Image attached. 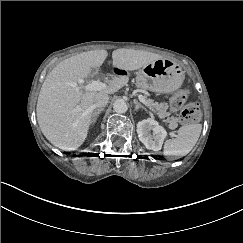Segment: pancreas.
Here are the masks:
<instances>
[{"instance_id": "obj_1", "label": "pancreas", "mask_w": 243, "mask_h": 243, "mask_svg": "<svg viewBox=\"0 0 243 243\" xmlns=\"http://www.w3.org/2000/svg\"><path fill=\"white\" fill-rule=\"evenodd\" d=\"M152 106H154L158 111V116L162 119V122L171 130H174L178 127V117L172 115L168 112V106L164 104H159L153 102L152 100H147Z\"/></svg>"}]
</instances>
